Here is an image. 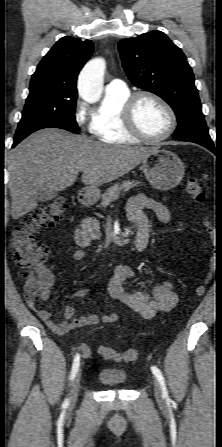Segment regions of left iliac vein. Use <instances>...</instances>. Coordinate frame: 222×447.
<instances>
[{
	"label": "left iliac vein",
	"mask_w": 222,
	"mask_h": 447,
	"mask_svg": "<svg viewBox=\"0 0 222 447\" xmlns=\"http://www.w3.org/2000/svg\"><path fill=\"white\" fill-rule=\"evenodd\" d=\"M154 394L157 401H162L163 399V392L161 385L157 379H154Z\"/></svg>",
	"instance_id": "left-iliac-vein-1"
}]
</instances>
